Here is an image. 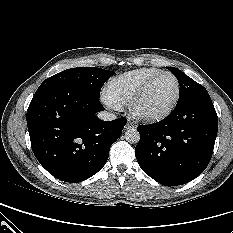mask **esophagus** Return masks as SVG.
I'll list each match as a JSON object with an SVG mask.
<instances>
[{
    "instance_id": "1",
    "label": "esophagus",
    "mask_w": 233,
    "mask_h": 233,
    "mask_svg": "<svg viewBox=\"0 0 233 233\" xmlns=\"http://www.w3.org/2000/svg\"><path fill=\"white\" fill-rule=\"evenodd\" d=\"M135 127V124L132 123V122H127L126 126H125V129H130V128H134Z\"/></svg>"
}]
</instances>
